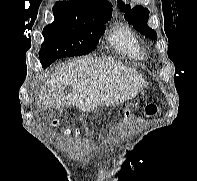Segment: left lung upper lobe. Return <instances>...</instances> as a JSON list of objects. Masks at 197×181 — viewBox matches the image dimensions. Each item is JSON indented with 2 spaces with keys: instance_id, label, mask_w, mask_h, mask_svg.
I'll use <instances>...</instances> for the list:
<instances>
[{
  "instance_id": "left-lung-upper-lobe-1",
  "label": "left lung upper lobe",
  "mask_w": 197,
  "mask_h": 181,
  "mask_svg": "<svg viewBox=\"0 0 197 181\" xmlns=\"http://www.w3.org/2000/svg\"><path fill=\"white\" fill-rule=\"evenodd\" d=\"M118 6L121 11L125 12L124 18L128 23L132 24L137 31L148 38H157V33L147 25L149 18L148 9L139 5L131 8L130 4H125L121 0H118Z\"/></svg>"
}]
</instances>
